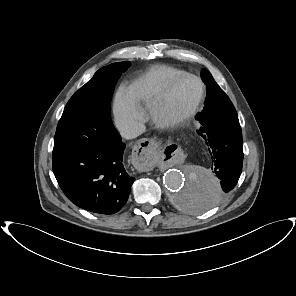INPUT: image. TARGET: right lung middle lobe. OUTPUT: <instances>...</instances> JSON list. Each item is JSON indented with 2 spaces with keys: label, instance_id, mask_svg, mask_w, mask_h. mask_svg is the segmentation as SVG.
<instances>
[{
  "label": "right lung middle lobe",
  "instance_id": "obj_1",
  "mask_svg": "<svg viewBox=\"0 0 296 296\" xmlns=\"http://www.w3.org/2000/svg\"><path fill=\"white\" fill-rule=\"evenodd\" d=\"M129 67V61L102 67L75 92L59 120L53 156L82 148L110 146L119 139L110 117V102L120 75Z\"/></svg>",
  "mask_w": 296,
  "mask_h": 296
}]
</instances>
